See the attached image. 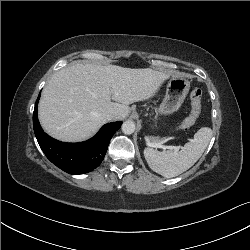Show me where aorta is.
I'll return each mask as SVG.
<instances>
[{"mask_svg":"<svg viewBox=\"0 0 250 250\" xmlns=\"http://www.w3.org/2000/svg\"><path fill=\"white\" fill-rule=\"evenodd\" d=\"M135 131V123L131 120H127L122 124V132L126 135H130Z\"/></svg>","mask_w":250,"mask_h":250,"instance_id":"1","label":"aorta"}]
</instances>
